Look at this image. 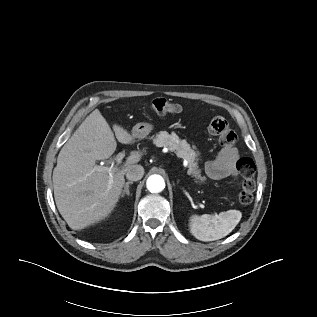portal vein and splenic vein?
I'll return each mask as SVG.
<instances>
[{
	"mask_svg": "<svg viewBox=\"0 0 317 317\" xmlns=\"http://www.w3.org/2000/svg\"><path fill=\"white\" fill-rule=\"evenodd\" d=\"M124 156H125V153H124V152H120V153L116 156L115 160H116L118 163H120L121 160L124 158ZM116 169H117V167L114 166L113 164H112L110 167H102V168H99V170H104V171L108 172L110 175H111L112 172L115 171Z\"/></svg>",
	"mask_w": 317,
	"mask_h": 317,
	"instance_id": "obj_1",
	"label": "portal vein and splenic vein"
}]
</instances>
